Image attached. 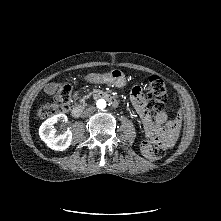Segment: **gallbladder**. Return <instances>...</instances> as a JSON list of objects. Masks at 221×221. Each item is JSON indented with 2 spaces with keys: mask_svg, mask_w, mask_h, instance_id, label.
I'll return each instance as SVG.
<instances>
[{
  "mask_svg": "<svg viewBox=\"0 0 221 221\" xmlns=\"http://www.w3.org/2000/svg\"><path fill=\"white\" fill-rule=\"evenodd\" d=\"M58 86H59V84H51V85L49 86V88H50V89H56V88H58Z\"/></svg>",
  "mask_w": 221,
  "mask_h": 221,
  "instance_id": "gallbladder-1",
  "label": "gallbladder"
}]
</instances>
